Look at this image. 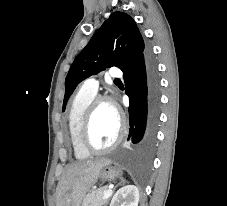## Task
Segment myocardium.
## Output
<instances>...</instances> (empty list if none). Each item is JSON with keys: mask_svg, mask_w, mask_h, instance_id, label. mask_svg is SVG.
I'll list each match as a JSON object with an SVG mask.
<instances>
[{"mask_svg": "<svg viewBox=\"0 0 227 206\" xmlns=\"http://www.w3.org/2000/svg\"><path fill=\"white\" fill-rule=\"evenodd\" d=\"M104 103L110 104L115 109L118 116L119 129L115 140L109 146L104 148H98L91 141V137H90L91 125H92L93 117L97 108ZM124 131H125V122H124L123 116L116 108L114 101L108 96L99 95V96H96L89 103V105L87 106L83 114L81 124H80V129H79V142L82 148L88 153L102 154L113 150L120 144L124 136Z\"/></svg>", "mask_w": 227, "mask_h": 206, "instance_id": "f54148a6", "label": "myocardium"}]
</instances>
